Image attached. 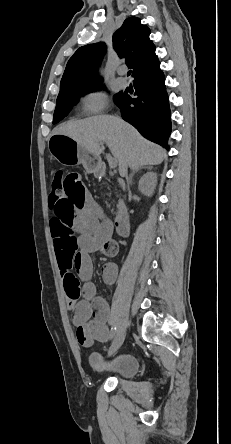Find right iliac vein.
<instances>
[{"label":"right iliac vein","instance_id":"obj_1","mask_svg":"<svg viewBox=\"0 0 231 444\" xmlns=\"http://www.w3.org/2000/svg\"><path fill=\"white\" fill-rule=\"evenodd\" d=\"M126 332H127L126 325H122L118 331L116 339L114 340L111 347L109 348V351H108L109 356L116 353L118 351V349L121 347L122 343L125 340Z\"/></svg>","mask_w":231,"mask_h":444}]
</instances>
